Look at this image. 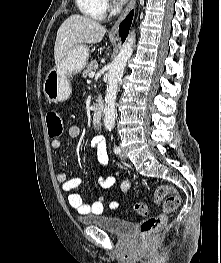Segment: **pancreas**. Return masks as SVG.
I'll list each match as a JSON object with an SVG mask.
<instances>
[{
	"label": "pancreas",
	"instance_id": "cf45deb5",
	"mask_svg": "<svg viewBox=\"0 0 221 263\" xmlns=\"http://www.w3.org/2000/svg\"><path fill=\"white\" fill-rule=\"evenodd\" d=\"M98 67L97 61H91L88 67L82 72L84 78L88 77L91 72H94Z\"/></svg>",
	"mask_w": 221,
	"mask_h": 263
}]
</instances>
